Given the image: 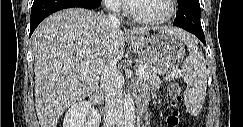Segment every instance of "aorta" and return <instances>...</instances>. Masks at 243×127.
<instances>
[{
	"label": "aorta",
	"instance_id": "aorta-1",
	"mask_svg": "<svg viewBox=\"0 0 243 127\" xmlns=\"http://www.w3.org/2000/svg\"><path fill=\"white\" fill-rule=\"evenodd\" d=\"M124 123L125 127H135L136 116L134 101L130 95H126L124 98Z\"/></svg>",
	"mask_w": 243,
	"mask_h": 127
}]
</instances>
